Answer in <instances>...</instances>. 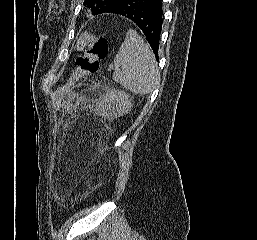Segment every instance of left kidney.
I'll return each instance as SVG.
<instances>
[{
	"instance_id": "left-kidney-1",
	"label": "left kidney",
	"mask_w": 257,
	"mask_h": 240,
	"mask_svg": "<svg viewBox=\"0 0 257 240\" xmlns=\"http://www.w3.org/2000/svg\"><path fill=\"white\" fill-rule=\"evenodd\" d=\"M106 101L113 105L111 108L117 110L118 114H122L130 107L129 97L122 92H114Z\"/></svg>"
}]
</instances>
